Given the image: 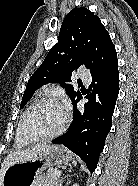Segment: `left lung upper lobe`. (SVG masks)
<instances>
[{"label": "left lung upper lobe", "mask_w": 138, "mask_h": 186, "mask_svg": "<svg viewBox=\"0 0 138 186\" xmlns=\"http://www.w3.org/2000/svg\"><path fill=\"white\" fill-rule=\"evenodd\" d=\"M115 60V47L99 17L86 8L72 9L64 18L58 43L29 79L20 108L39 87L50 82L62 84L73 102L80 94L67 83L71 82L73 70L84 64L93 75Z\"/></svg>", "instance_id": "1"}]
</instances>
